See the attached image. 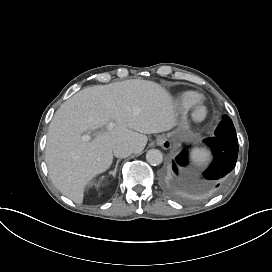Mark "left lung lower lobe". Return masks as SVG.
Instances as JSON below:
<instances>
[{"instance_id":"0a47b994","label":"left lung lower lobe","mask_w":272,"mask_h":272,"mask_svg":"<svg viewBox=\"0 0 272 272\" xmlns=\"http://www.w3.org/2000/svg\"><path fill=\"white\" fill-rule=\"evenodd\" d=\"M205 143L211 148L214 160L208 169L203 173V177L208 180L204 184L192 189L194 192H213L221 187L225 182V176L235 167L238 157L237 142L220 137H210L205 139ZM188 162L187 151H183L172 163V169L177 174V165L184 166Z\"/></svg>"}]
</instances>
